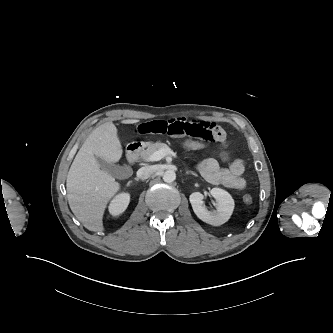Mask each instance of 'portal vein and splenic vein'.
Returning <instances> with one entry per match:
<instances>
[{
  "instance_id": "1",
  "label": "portal vein and splenic vein",
  "mask_w": 333,
  "mask_h": 333,
  "mask_svg": "<svg viewBox=\"0 0 333 333\" xmlns=\"http://www.w3.org/2000/svg\"><path fill=\"white\" fill-rule=\"evenodd\" d=\"M167 155H172V156L176 157V153L173 152L170 148H164V149H160V150L154 152L146 160L148 162L159 161Z\"/></svg>"
}]
</instances>
